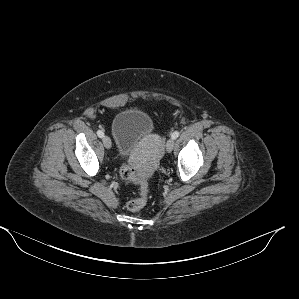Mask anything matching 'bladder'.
I'll list each match as a JSON object with an SVG mask.
<instances>
[{"instance_id":"1","label":"bladder","mask_w":299,"mask_h":299,"mask_svg":"<svg viewBox=\"0 0 299 299\" xmlns=\"http://www.w3.org/2000/svg\"><path fill=\"white\" fill-rule=\"evenodd\" d=\"M151 117L139 109H127L118 113L111 125L119 158H126L130 150L153 131Z\"/></svg>"}]
</instances>
